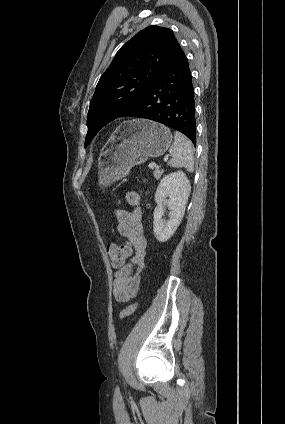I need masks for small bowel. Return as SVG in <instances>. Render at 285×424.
<instances>
[{"mask_svg":"<svg viewBox=\"0 0 285 424\" xmlns=\"http://www.w3.org/2000/svg\"><path fill=\"white\" fill-rule=\"evenodd\" d=\"M124 199L125 203L133 209L127 211L120 208L115 211L117 231L130 243L134 254L128 263L124 261L120 266H116L117 270L113 275V295L119 302H127L137 295L147 254V240L142 223L141 195L136 191H128ZM130 254L131 249L128 257Z\"/></svg>","mask_w":285,"mask_h":424,"instance_id":"1","label":"small bowel"}]
</instances>
